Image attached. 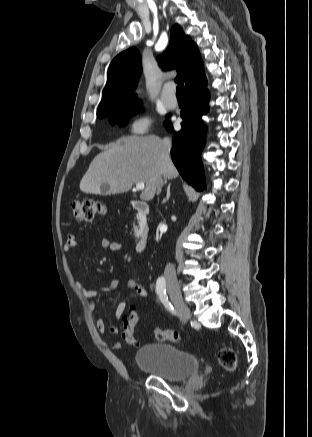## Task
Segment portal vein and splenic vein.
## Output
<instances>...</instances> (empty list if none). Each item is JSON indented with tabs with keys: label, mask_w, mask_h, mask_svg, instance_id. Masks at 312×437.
Segmentation results:
<instances>
[{
	"label": "portal vein and splenic vein",
	"mask_w": 312,
	"mask_h": 437,
	"mask_svg": "<svg viewBox=\"0 0 312 437\" xmlns=\"http://www.w3.org/2000/svg\"><path fill=\"white\" fill-rule=\"evenodd\" d=\"M145 188V185L143 182H137L136 183V189L137 190H143Z\"/></svg>",
	"instance_id": "1"
}]
</instances>
